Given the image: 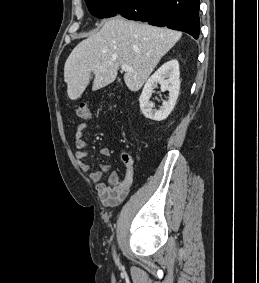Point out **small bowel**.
Instances as JSON below:
<instances>
[{"label": "small bowel", "mask_w": 259, "mask_h": 283, "mask_svg": "<svg viewBox=\"0 0 259 283\" xmlns=\"http://www.w3.org/2000/svg\"><path fill=\"white\" fill-rule=\"evenodd\" d=\"M88 129L86 124H79L75 133V159L78 167L85 172L89 179L96 184L95 189L101 201L105 204H117L123 201L128 195L130 186L133 181L134 168L132 162L126 163L125 176L120 177L118 172L110 171L108 165L104 164L101 170H94L84 161L87 155V143L85 141V132ZM100 153L104 157L111 156V150L102 147ZM104 174H108L107 181H103Z\"/></svg>", "instance_id": "1"}]
</instances>
